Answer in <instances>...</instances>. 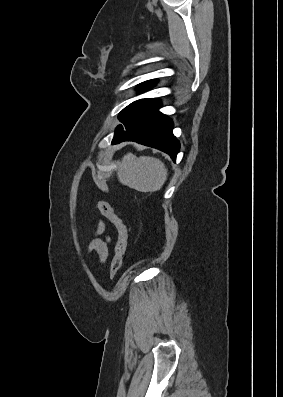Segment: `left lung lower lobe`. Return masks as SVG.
Returning <instances> with one entry per match:
<instances>
[{
  "label": "left lung lower lobe",
  "mask_w": 283,
  "mask_h": 397,
  "mask_svg": "<svg viewBox=\"0 0 283 397\" xmlns=\"http://www.w3.org/2000/svg\"><path fill=\"white\" fill-rule=\"evenodd\" d=\"M160 106L161 103L141 116L122 134L114 136L112 144L136 141L169 154L175 161L180 143L172 133V120L159 111Z\"/></svg>",
  "instance_id": "0a47b994"
}]
</instances>
